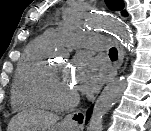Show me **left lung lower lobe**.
<instances>
[{"label": "left lung lower lobe", "mask_w": 151, "mask_h": 131, "mask_svg": "<svg viewBox=\"0 0 151 131\" xmlns=\"http://www.w3.org/2000/svg\"><path fill=\"white\" fill-rule=\"evenodd\" d=\"M92 108H93V106L91 108H89L88 111H87V113H86V115H87L86 116V123L90 119V116H91V113H92Z\"/></svg>", "instance_id": "0a47b994"}]
</instances>
